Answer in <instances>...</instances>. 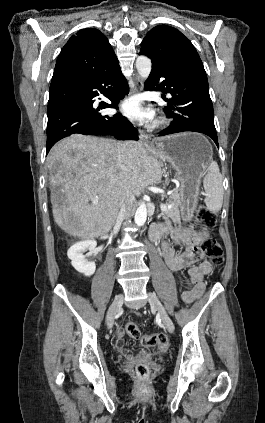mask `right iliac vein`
Returning <instances> with one entry per match:
<instances>
[{"label": "right iliac vein", "instance_id": "1", "mask_svg": "<svg viewBox=\"0 0 265 423\" xmlns=\"http://www.w3.org/2000/svg\"><path fill=\"white\" fill-rule=\"evenodd\" d=\"M123 301H124V296L123 295H118L114 299L113 303L111 304V306H110V308L108 310V313H107V327L109 329L112 328L113 323H114L115 315L120 310V308H121V306L123 304Z\"/></svg>", "mask_w": 265, "mask_h": 423}]
</instances>
